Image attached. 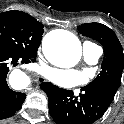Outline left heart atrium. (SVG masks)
Here are the masks:
<instances>
[{
	"mask_svg": "<svg viewBox=\"0 0 124 124\" xmlns=\"http://www.w3.org/2000/svg\"><path fill=\"white\" fill-rule=\"evenodd\" d=\"M45 75L52 83L62 88H72L87 82L86 74L74 69L47 68Z\"/></svg>",
	"mask_w": 124,
	"mask_h": 124,
	"instance_id": "obj_1",
	"label": "left heart atrium"
}]
</instances>
